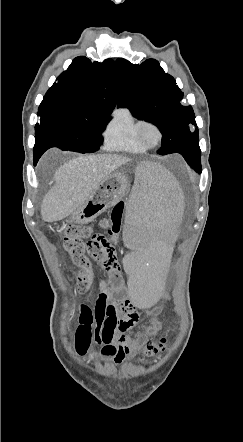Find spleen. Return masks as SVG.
<instances>
[{
    "label": "spleen",
    "instance_id": "3e777b00",
    "mask_svg": "<svg viewBox=\"0 0 243 442\" xmlns=\"http://www.w3.org/2000/svg\"><path fill=\"white\" fill-rule=\"evenodd\" d=\"M163 163H138L134 170L132 193L125 205L126 222L122 229L131 254L123 260L128 274L133 307H155L167 286L169 259L174 258V245L179 242L177 226H185L180 183L163 171Z\"/></svg>",
    "mask_w": 243,
    "mask_h": 442
}]
</instances>
